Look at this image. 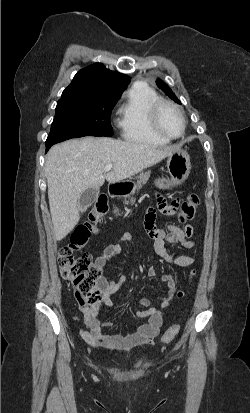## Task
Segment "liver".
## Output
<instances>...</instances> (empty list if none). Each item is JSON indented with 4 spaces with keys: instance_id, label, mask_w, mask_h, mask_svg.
<instances>
[{
    "instance_id": "6515ba94",
    "label": "liver",
    "mask_w": 250,
    "mask_h": 413,
    "mask_svg": "<svg viewBox=\"0 0 250 413\" xmlns=\"http://www.w3.org/2000/svg\"><path fill=\"white\" fill-rule=\"evenodd\" d=\"M176 151L149 144L107 137H84L54 145L45 162L48 199L57 241L66 237L80 219L78 201L88 188H100L129 178ZM112 164V170H104Z\"/></svg>"
}]
</instances>
